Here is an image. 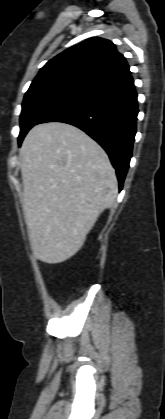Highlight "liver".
Masks as SVG:
<instances>
[{
    "label": "liver",
    "instance_id": "obj_1",
    "mask_svg": "<svg viewBox=\"0 0 165 419\" xmlns=\"http://www.w3.org/2000/svg\"><path fill=\"white\" fill-rule=\"evenodd\" d=\"M23 211L34 256L61 263L83 246L117 195L106 152L82 130L60 122L34 126L20 149Z\"/></svg>",
    "mask_w": 165,
    "mask_h": 419
}]
</instances>
